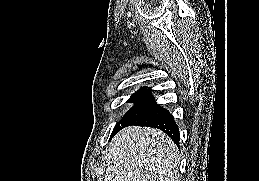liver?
Segmentation results:
<instances>
[{"label":"liver","mask_w":259,"mask_h":181,"mask_svg":"<svg viewBox=\"0 0 259 181\" xmlns=\"http://www.w3.org/2000/svg\"><path fill=\"white\" fill-rule=\"evenodd\" d=\"M179 158L161 130L129 126L113 138L104 181H178Z\"/></svg>","instance_id":"liver-1"}]
</instances>
